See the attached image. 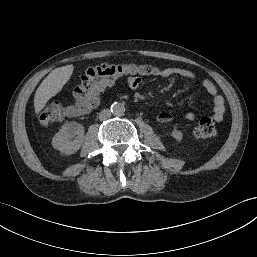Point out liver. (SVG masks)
Returning a JSON list of instances; mask_svg holds the SVG:
<instances>
[{
    "label": "liver",
    "mask_w": 257,
    "mask_h": 257,
    "mask_svg": "<svg viewBox=\"0 0 257 257\" xmlns=\"http://www.w3.org/2000/svg\"><path fill=\"white\" fill-rule=\"evenodd\" d=\"M74 70L72 64L52 70L48 76L42 81L36 90L34 97V109L38 114L46 105V103L58 94L63 86L69 81Z\"/></svg>",
    "instance_id": "1"
}]
</instances>
